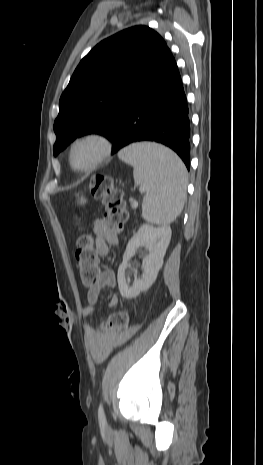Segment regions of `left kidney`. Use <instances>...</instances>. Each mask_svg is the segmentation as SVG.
<instances>
[{
    "instance_id": "left-kidney-1",
    "label": "left kidney",
    "mask_w": 263,
    "mask_h": 465,
    "mask_svg": "<svg viewBox=\"0 0 263 465\" xmlns=\"http://www.w3.org/2000/svg\"><path fill=\"white\" fill-rule=\"evenodd\" d=\"M171 239V229L168 226L155 227L150 224L142 225L138 232L129 240L123 255V262L118 268V287L122 297L132 299L142 291H147L155 282L158 272L163 265L167 247ZM144 246L149 254L143 258V274L130 285V278H126L125 271L129 260L136 250Z\"/></svg>"
}]
</instances>
